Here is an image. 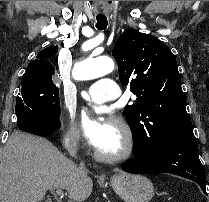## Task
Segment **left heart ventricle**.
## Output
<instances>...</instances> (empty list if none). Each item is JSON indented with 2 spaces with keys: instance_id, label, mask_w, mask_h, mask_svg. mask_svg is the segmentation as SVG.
Instances as JSON below:
<instances>
[{
  "instance_id": "obj_1",
  "label": "left heart ventricle",
  "mask_w": 209,
  "mask_h": 202,
  "mask_svg": "<svg viewBox=\"0 0 209 202\" xmlns=\"http://www.w3.org/2000/svg\"><path fill=\"white\" fill-rule=\"evenodd\" d=\"M122 145L123 136L120 130L114 124L108 123L106 135L96 149L103 153L112 154L118 152Z\"/></svg>"
}]
</instances>
